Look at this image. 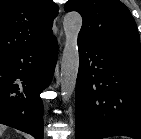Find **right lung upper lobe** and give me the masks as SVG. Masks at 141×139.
Masks as SVG:
<instances>
[{"mask_svg":"<svg viewBox=\"0 0 141 139\" xmlns=\"http://www.w3.org/2000/svg\"><path fill=\"white\" fill-rule=\"evenodd\" d=\"M57 9L52 0H0V55L50 38Z\"/></svg>","mask_w":141,"mask_h":139,"instance_id":"1","label":"right lung upper lobe"}]
</instances>
